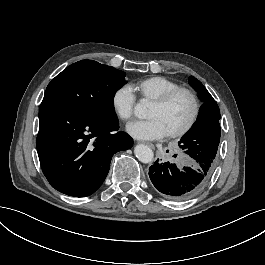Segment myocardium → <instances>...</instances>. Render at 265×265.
Here are the masks:
<instances>
[{"label": "myocardium", "mask_w": 265, "mask_h": 265, "mask_svg": "<svg viewBox=\"0 0 265 265\" xmlns=\"http://www.w3.org/2000/svg\"><path fill=\"white\" fill-rule=\"evenodd\" d=\"M184 95L189 98L192 104V111L189 121L181 129L173 132H169L166 135L169 138H178L186 135L196 124L199 114H200V102L197 95L190 89L187 88H177L160 97L158 100L154 101L152 104L157 108H164L176 97Z\"/></svg>", "instance_id": "f54148a6"}]
</instances>
